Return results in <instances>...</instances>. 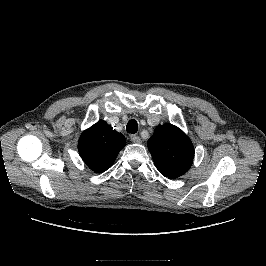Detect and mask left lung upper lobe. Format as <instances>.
I'll use <instances>...</instances> for the list:
<instances>
[{
	"label": "left lung upper lobe",
	"instance_id": "left-lung-upper-lobe-1",
	"mask_svg": "<svg viewBox=\"0 0 266 266\" xmlns=\"http://www.w3.org/2000/svg\"><path fill=\"white\" fill-rule=\"evenodd\" d=\"M147 144L155 166L163 176L178 178L190 169L194 147L178 127L171 124L157 126Z\"/></svg>",
	"mask_w": 266,
	"mask_h": 266
}]
</instances>
